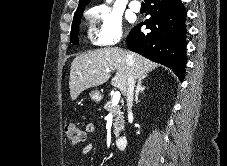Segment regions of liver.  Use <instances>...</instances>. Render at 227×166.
I'll return each mask as SVG.
<instances>
[{
  "label": "liver",
  "mask_w": 227,
  "mask_h": 166,
  "mask_svg": "<svg viewBox=\"0 0 227 166\" xmlns=\"http://www.w3.org/2000/svg\"><path fill=\"white\" fill-rule=\"evenodd\" d=\"M157 66V63L137 53L118 47L100 48L80 54L71 63L69 81L71 99L74 101L84 90L104 84L114 70L116 75L111 85L125 95L130 74L134 79H144Z\"/></svg>",
  "instance_id": "obj_1"
}]
</instances>
